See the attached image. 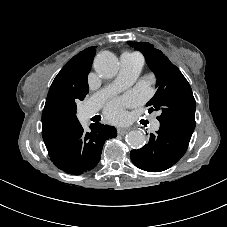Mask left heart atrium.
<instances>
[{
	"label": "left heart atrium",
	"mask_w": 227,
	"mask_h": 227,
	"mask_svg": "<svg viewBox=\"0 0 227 227\" xmlns=\"http://www.w3.org/2000/svg\"><path fill=\"white\" fill-rule=\"evenodd\" d=\"M134 102L132 97L115 100L106 107V114L113 120H119L124 115L123 107Z\"/></svg>",
	"instance_id": "obj_1"
}]
</instances>
